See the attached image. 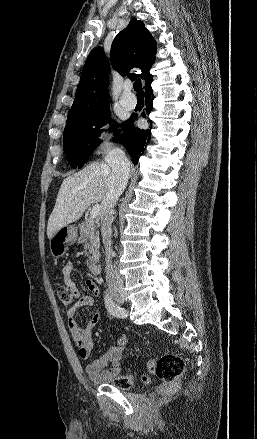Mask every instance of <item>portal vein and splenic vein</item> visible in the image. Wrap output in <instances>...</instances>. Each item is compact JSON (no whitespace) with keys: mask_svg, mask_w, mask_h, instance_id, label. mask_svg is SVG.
I'll list each match as a JSON object with an SVG mask.
<instances>
[{"mask_svg":"<svg viewBox=\"0 0 257 439\" xmlns=\"http://www.w3.org/2000/svg\"><path fill=\"white\" fill-rule=\"evenodd\" d=\"M100 211V205L96 204L95 206L92 207V210L90 212V219H94L98 216Z\"/></svg>","mask_w":257,"mask_h":439,"instance_id":"18ae733b","label":"portal vein and splenic vein"}]
</instances>
